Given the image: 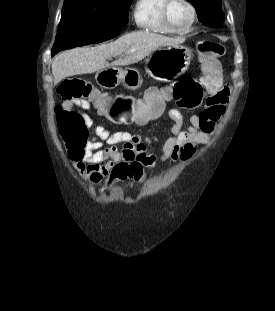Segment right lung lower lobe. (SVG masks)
Wrapping results in <instances>:
<instances>
[{"label":"right lung lower lobe","instance_id":"right-lung-lower-lobe-1","mask_svg":"<svg viewBox=\"0 0 275 311\" xmlns=\"http://www.w3.org/2000/svg\"><path fill=\"white\" fill-rule=\"evenodd\" d=\"M124 25H125V24H119V25L117 26V28L112 32V34L106 35L105 37H103V38L100 40V42L105 41V40H108V39H111V38H113V37L119 35L120 29H121V27L124 26Z\"/></svg>","mask_w":275,"mask_h":311}]
</instances>
